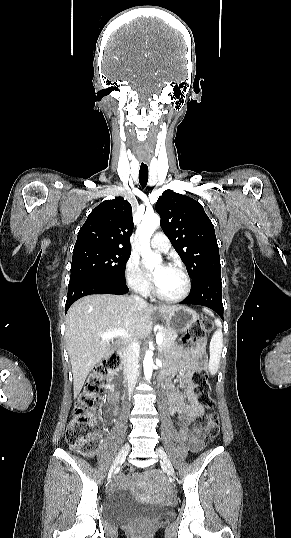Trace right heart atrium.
<instances>
[{
  "label": "right heart atrium",
  "instance_id": "obj_1",
  "mask_svg": "<svg viewBox=\"0 0 291 538\" xmlns=\"http://www.w3.org/2000/svg\"><path fill=\"white\" fill-rule=\"evenodd\" d=\"M125 278L127 284L139 294H147L150 282L141 268L138 256L131 254L125 265Z\"/></svg>",
  "mask_w": 291,
  "mask_h": 538
}]
</instances>
